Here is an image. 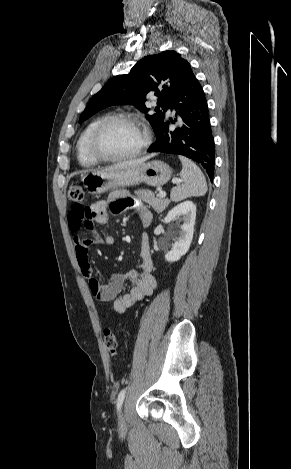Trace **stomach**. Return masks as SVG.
<instances>
[{
  "mask_svg": "<svg viewBox=\"0 0 291 469\" xmlns=\"http://www.w3.org/2000/svg\"><path fill=\"white\" fill-rule=\"evenodd\" d=\"M172 175L168 164L153 160L137 166L112 171H92L82 176V182L92 195H99L113 188L146 183L158 187L166 184Z\"/></svg>",
  "mask_w": 291,
  "mask_h": 469,
  "instance_id": "obj_1",
  "label": "stomach"
}]
</instances>
